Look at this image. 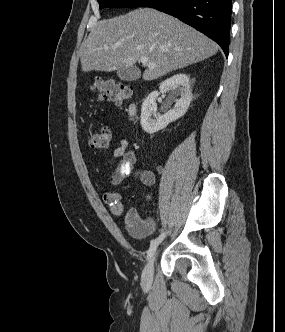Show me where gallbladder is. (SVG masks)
<instances>
[{"label":"gallbladder","mask_w":285,"mask_h":332,"mask_svg":"<svg viewBox=\"0 0 285 332\" xmlns=\"http://www.w3.org/2000/svg\"><path fill=\"white\" fill-rule=\"evenodd\" d=\"M117 76L123 81H136L140 78V71L136 67L119 68Z\"/></svg>","instance_id":"1"}]
</instances>
